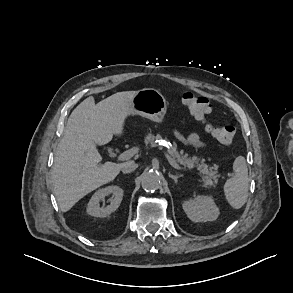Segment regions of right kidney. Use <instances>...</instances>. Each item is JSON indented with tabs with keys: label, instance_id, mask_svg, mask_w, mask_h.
I'll use <instances>...</instances> for the list:
<instances>
[{
	"label": "right kidney",
	"instance_id": "ca27d5eb",
	"mask_svg": "<svg viewBox=\"0 0 293 293\" xmlns=\"http://www.w3.org/2000/svg\"><path fill=\"white\" fill-rule=\"evenodd\" d=\"M110 194H113L110 205L100 207V202ZM123 198V190L118 186H108L99 189L90 199L87 207V213L94 217H106L114 212L120 205Z\"/></svg>",
	"mask_w": 293,
	"mask_h": 293
}]
</instances>
